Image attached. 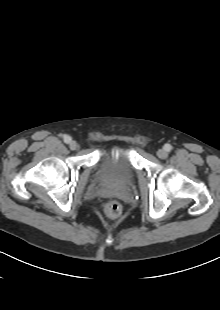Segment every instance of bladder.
<instances>
[{"instance_id":"bladder-1","label":"bladder","mask_w":220,"mask_h":310,"mask_svg":"<svg viewBox=\"0 0 220 310\" xmlns=\"http://www.w3.org/2000/svg\"><path fill=\"white\" fill-rule=\"evenodd\" d=\"M134 170L125 151L106 149L101 152L96 176L107 185H128L134 178Z\"/></svg>"}]
</instances>
